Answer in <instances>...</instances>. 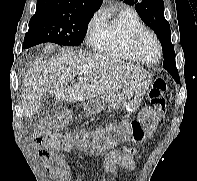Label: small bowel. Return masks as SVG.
<instances>
[{
	"label": "small bowel",
	"mask_w": 197,
	"mask_h": 181,
	"mask_svg": "<svg viewBox=\"0 0 197 181\" xmlns=\"http://www.w3.org/2000/svg\"><path fill=\"white\" fill-rule=\"evenodd\" d=\"M125 139H129V135L124 136ZM36 144L41 143V140L35 139ZM64 149V148H63ZM65 151H70L71 149H64ZM84 153L89 156H97L98 152L95 150H84ZM38 155L47 163L54 162L56 166H50V168L60 176V178H67L71 176V169L63 155L61 154L60 148L53 149L49 145L46 148H41L38 150ZM119 167L126 169H133L134 159L133 150H119L113 149L109 151L103 162L104 172L110 174V181H114L115 175Z\"/></svg>",
	"instance_id": "1"
}]
</instances>
